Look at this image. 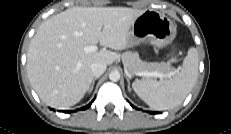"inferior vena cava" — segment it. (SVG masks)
Masks as SVG:
<instances>
[{
	"instance_id": "obj_1",
	"label": "inferior vena cava",
	"mask_w": 231,
	"mask_h": 134,
	"mask_svg": "<svg viewBox=\"0 0 231 134\" xmlns=\"http://www.w3.org/2000/svg\"><path fill=\"white\" fill-rule=\"evenodd\" d=\"M106 67L107 65L105 63L95 62L91 65V70L95 77H99L105 72Z\"/></svg>"
}]
</instances>
